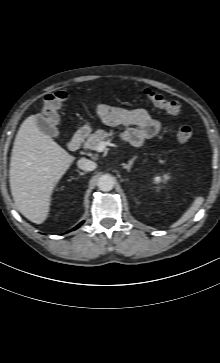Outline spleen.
Returning a JSON list of instances; mask_svg holds the SVG:
<instances>
[{"label":"spleen","instance_id":"3e777b00","mask_svg":"<svg viewBox=\"0 0 220 363\" xmlns=\"http://www.w3.org/2000/svg\"><path fill=\"white\" fill-rule=\"evenodd\" d=\"M204 198L203 197H196L191 207L184 213V215L173 224V227L179 226L186 222L188 219H190L195 212L200 208V206L203 204Z\"/></svg>","mask_w":220,"mask_h":363}]
</instances>
